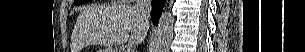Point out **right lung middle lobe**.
<instances>
[{"label":"right lung middle lobe","mask_w":305,"mask_h":52,"mask_svg":"<svg viewBox=\"0 0 305 52\" xmlns=\"http://www.w3.org/2000/svg\"><path fill=\"white\" fill-rule=\"evenodd\" d=\"M87 1H89V0H77V1L74 2V4H75V5H78V4L85 3V2H87Z\"/></svg>","instance_id":"1"}]
</instances>
